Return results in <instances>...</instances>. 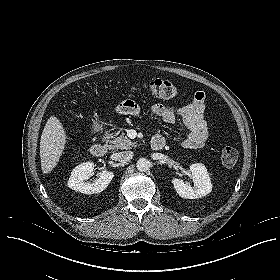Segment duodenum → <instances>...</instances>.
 I'll use <instances>...</instances> for the list:
<instances>
[{
  "mask_svg": "<svg viewBox=\"0 0 280 280\" xmlns=\"http://www.w3.org/2000/svg\"><path fill=\"white\" fill-rule=\"evenodd\" d=\"M165 146V141L162 137H154L151 141V148L154 150H161ZM91 154L95 158L103 157L108 150V147L103 142H97L91 146Z\"/></svg>",
  "mask_w": 280,
  "mask_h": 280,
  "instance_id": "1",
  "label": "duodenum"
}]
</instances>
